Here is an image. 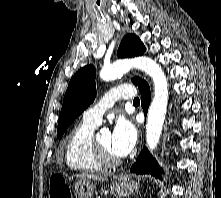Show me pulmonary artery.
Masks as SVG:
<instances>
[{
    "mask_svg": "<svg viewBox=\"0 0 221 198\" xmlns=\"http://www.w3.org/2000/svg\"><path fill=\"white\" fill-rule=\"evenodd\" d=\"M135 97V90L130 85H121L110 89L103 98L93 107L86 110L83 120L99 125L104 112L112 107L119 99H131Z\"/></svg>",
    "mask_w": 221,
    "mask_h": 198,
    "instance_id": "pulmonary-artery-1",
    "label": "pulmonary artery"
}]
</instances>
